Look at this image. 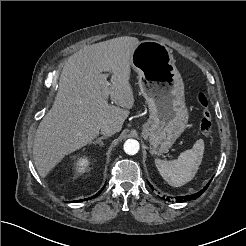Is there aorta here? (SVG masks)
Here are the masks:
<instances>
[{
    "label": "aorta",
    "instance_id": "1",
    "mask_svg": "<svg viewBox=\"0 0 246 246\" xmlns=\"http://www.w3.org/2000/svg\"><path fill=\"white\" fill-rule=\"evenodd\" d=\"M140 148L139 142L135 139H128L124 143V151L128 155H135L138 153Z\"/></svg>",
    "mask_w": 246,
    "mask_h": 246
}]
</instances>
